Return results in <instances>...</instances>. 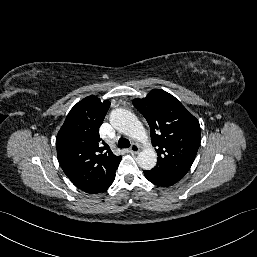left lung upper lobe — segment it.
I'll return each mask as SVG.
<instances>
[{"label":"left lung upper lobe","mask_w":257,"mask_h":257,"mask_svg":"<svg viewBox=\"0 0 257 257\" xmlns=\"http://www.w3.org/2000/svg\"><path fill=\"white\" fill-rule=\"evenodd\" d=\"M146 118L152 145L158 155L153 171L180 180L189 171L200 146V125L171 94L153 89L143 99L133 100Z\"/></svg>","instance_id":"obj_1"}]
</instances>
